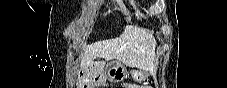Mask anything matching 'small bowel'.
Listing matches in <instances>:
<instances>
[{
	"label": "small bowel",
	"instance_id": "c3829d8e",
	"mask_svg": "<svg viewBox=\"0 0 227 88\" xmlns=\"http://www.w3.org/2000/svg\"><path fill=\"white\" fill-rule=\"evenodd\" d=\"M94 68H95V70H96V71H98V70H99V66H95Z\"/></svg>",
	"mask_w": 227,
	"mask_h": 88
}]
</instances>
